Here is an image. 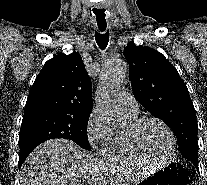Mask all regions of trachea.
Segmentation results:
<instances>
[{"instance_id": "trachea-1", "label": "trachea", "mask_w": 207, "mask_h": 185, "mask_svg": "<svg viewBox=\"0 0 207 185\" xmlns=\"http://www.w3.org/2000/svg\"><path fill=\"white\" fill-rule=\"evenodd\" d=\"M99 29H100V27H99ZM100 31L104 32V30H102V29H100ZM95 40L101 49L106 48L108 41H109V32L108 31L106 33L95 32Z\"/></svg>"}]
</instances>
